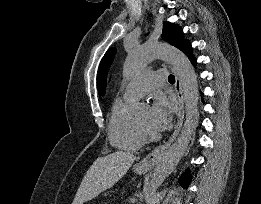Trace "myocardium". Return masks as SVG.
Segmentation results:
<instances>
[{"label":"myocardium","mask_w":261,"mask_h":204,"mask_svg":"<svg viewBox=\"0 0 261 204\" xmlns=\"http://www.w3.org/2000/svg\"><path fill=\"white\" fill-rule=\"evenodd\" d=\"M136 123L138 126V129L140 130L141 134L145 138V140H156L159 138V134L155 132L154 130H150L147 127H145L138 119H136Z\"/></svg>","instance_id":"myocardium-1"}]
</instances>
